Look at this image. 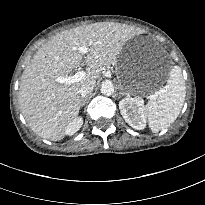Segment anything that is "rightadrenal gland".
I'll return each mask as SVG.
<instances>
[{"label":"right adrenal gland","mask_w":205,"mask_h":205,"mask_svg":"<svg viewBox=\"0 0 205 205\" xmlns=\"http://www.w3.org/2000/svg\"><path fill=\"white\" fill-rule=\"evenodd\" d=\"M85 101H86V99L83 98L82 101H81V105H80L81 107L85 105Z\"/></svg>","instance_id":"1"}]
</instances>
